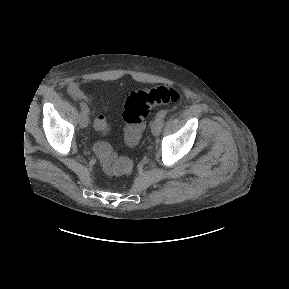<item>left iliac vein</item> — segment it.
Listing matches in <instances>:
<instances>
[{"label": "left iliac vein", "mask_w": 289, "mask_h": 289, "mask_svg": "<svg viewBox=\"0 0 289 289\" xmlns=\"http://www.w3.org/2000/svg\"><path fill=\"white\" fill-rule=\"evenodd\" d=\"M163 119L156 117L151 123V132L154 136H158L162 129Z\"/></svg>", "instance_id": "obj_1"}]
</instances>
